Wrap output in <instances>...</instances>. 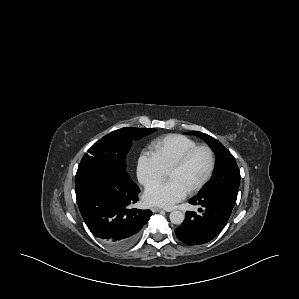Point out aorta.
<instances>
[{"label":"aorta","mask_w":299,"mask_h":299,"mask_svg":"<svg viewBox=\"0 0 299 299\" xmlns=\"http://www.w3.org/2000/svg\"><path fill=\"white\" fill-rule=\"evenodd\" d=\"M169 219L173 224L180 225L184 221L185 215L183 212L175 210L170 213Z\"/></svg>","instance_id":"obj_1"}]
</instances>
